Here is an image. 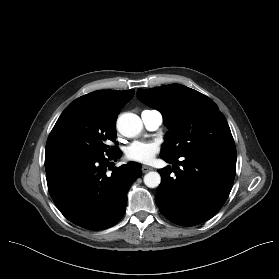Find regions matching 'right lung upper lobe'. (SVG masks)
<instances>
[{
    "mask_svg": "<svg viewBox=\"0 0 279 279\" xmlns=\"http://www.w3.org/2000/svg\"><path fill=\"white\" fill-rule=\"evenodd\" d=\"M134 91L98 90L76 100L85 103L100 118L115 123L121 108L134 96Z\"/></svg>",
    "mask_w": 279,
    "mask_h": 279,
    "instance_id": "cb5924a9",
    "label": "right lung upper lobe"
}]
</instances>
